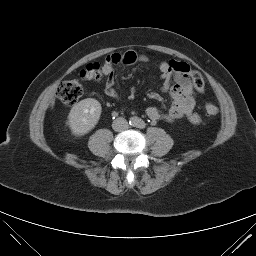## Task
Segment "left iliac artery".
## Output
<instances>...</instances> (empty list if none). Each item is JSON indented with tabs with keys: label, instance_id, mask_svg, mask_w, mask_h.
<instances>
[{
	"label": "left iliac artery",
	"instance_id": "44dca946",
	"mask_svg": "<svg viewBox=\"0 0 256 256\" xmlns=\"http://www.w3.org/2000/svg\"><path fill=\"white\" fill-rule=\"evenodd\" d=\"M137 127L140 128V129H144L146 127V124H145L144 121L139 120L138 124H137Z\"/></svg>",
	"mask_w": 256,
	"mask_h": 256
}]
</instances>
